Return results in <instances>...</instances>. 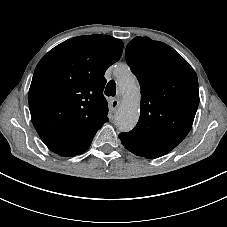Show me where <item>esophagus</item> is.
Returning a JSON list of instances; mask_svg holds the SVG:
<instances>
[{"label": "esophagus", "instance_id": "1", "mask_svg": "<svg viewBox=\"0 0 227 227\" xmlns=\"http://www.w3.org/2000/svg\"><path fill=\"white\" fill-rule=\"evenodd\" d=\"M119 100L118 99H113L111 100L110 104H109V108L112 112L116 111L118 106H119Z\"/></svg>", "mask_w": 227, "mask_h": 227}]
</instances>
